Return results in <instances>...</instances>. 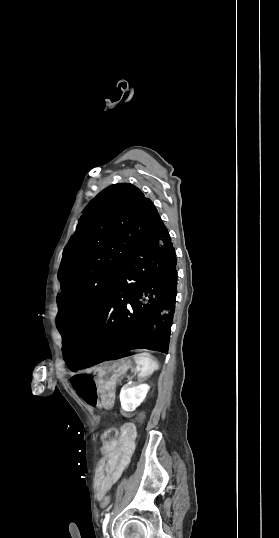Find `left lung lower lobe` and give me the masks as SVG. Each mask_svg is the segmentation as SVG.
Instances as JSON below:
<instances>
[{"instance_id":"obj_1","label":"left lung lower lobe","mask_w":279,"mask_h":538,"mask_svg":"<svg viewBox=\"0 0 279 538\" xmlns=\"http://www.w3.org/2000/svg\"><path fill=\"white\" fill-rule=\"evenodd\" d=\"M176 255L160 216L127 261L92 322L63 335V357L76 371L131 349L168 353L176 301Z\"/></svg>"}]
</instances>
